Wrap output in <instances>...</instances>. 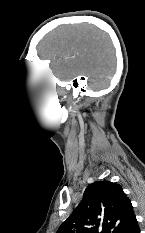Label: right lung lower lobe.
<instances>
[{
	"mask_svg": "<svg viewBox=\"0 0 145 233\" xmlns=\"http://www.w3.org/2000/svg\"><path fill=\"white\" fill-rule=\"evenodd\" d=\"M123 233H140V229L136 217H134L130 225L125 229Z\"/></svg>",
	"mask_w": 145,
	"mask_h": 233,
	"instance_id": "1",
	"label": "right lung lower lobe"
}]
</instances>
